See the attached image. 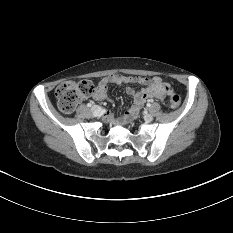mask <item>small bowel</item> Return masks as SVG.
Wrapping results in <instances>:
<instances>
[{
  "label": "small bowel",
  "mask_w": 233,
  "mask_h": 233,
  "mask_svg": "<svg viewBox=\"0 0 233 233\" xmlns=\"http://www.w3.org/2000/svg\"><path fill=\"white\" fill-rule=\"evenodd\" d=\"M124 85V84H140L143 88L139 91L134 90L131 87L126 88V93L133 98V104L125 112L123 117L124 122H130L136 118L142 109L144 103L148 99L163 100L166 95L171 94V88L165 84L161 77H141V76H125L121 74H110L102 78L95 89L93 98L97 101L108 100V85ZM109 120H113L112 114L107 113Z\"/></svg>",
  "instance_id": "small-bowel-1"
}]
</instances>
